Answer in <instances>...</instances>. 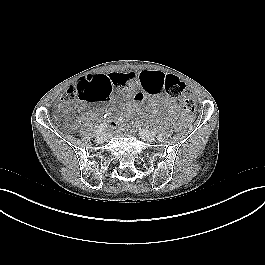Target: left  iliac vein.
<instances>
[{
    "label": "left iliac vein",
    "instance_id": "obj_1",
    "mask_svg": "<svg viewBox=\"0 0 265 265\" xmlns=\"http://www.w3.org/2000/svg\"><path fill=\"white\" fill-rule=\"evenodd\" d=\"M140 137L148 142H153L155 140V137L146 129H142L139 132Z\"/></svg>",
    "mask_w": 265,
    "mask_h": 265
}]
</instances>
